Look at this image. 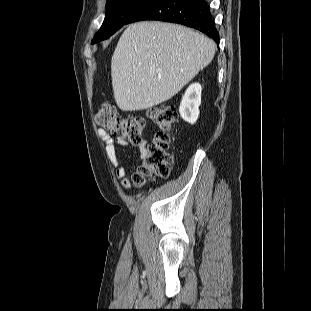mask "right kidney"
<instances>
[{
	"instance_id": "ca27d5eb",
	"label": "right kidney",
	"mask_w": 311,
	"mask_h": 311,
	"mask_svg": "<svg viewBox=\"0 0 311 311\" xmlns=\"http://www.w3.org/2000/svg\"><path fill=\"white\" fill-rule=\"evenodd\" d=\"M201 85L199 83L191 84L179 107V112L184 121L194 124L199 116V106L201 104Z\"/></svg>"
}]
</instances>
